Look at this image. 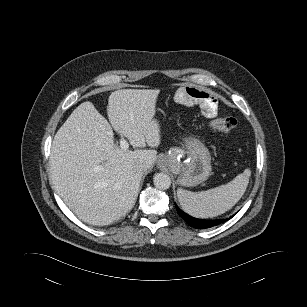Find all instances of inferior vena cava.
<instances>
[{"label":"inferior vena cava","instance_id":"1","mask_svg":"<svg viewBox=\"0 0 307 307\" xmlns=\"http://www.w3.org/2000/svg\"><path fill=\"white\" fill-rule=\"evenodd\" d=\"M134 170L140 174H143L145 171V164L144 163H138L134 166Z\"/></svg>","mask_w":307,"mask_h":307}]
</instances>
